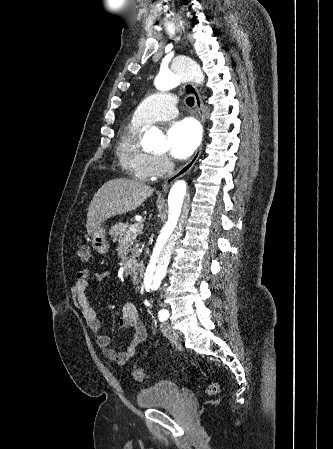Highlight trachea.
Segmentation results:
<instances>
[{"label": "trachea", "mask_w": 333, "mask_h": 449, "mask_svg": "<svg viewBox=\"0 0 333 449\" xmlns=\"http://www.w3.org/2000/svg\"><path fill=\"white\" fill-rule=\"evenodd\" d=\"M186 103L188 106L192 107L194 105V98L193 97H188L186 99Z\"/></svg>", "instance_id": "obj_1"}]
</instances>
